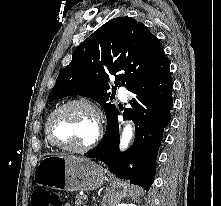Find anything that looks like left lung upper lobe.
I'll return each instance as SVG.
<instances>
[{"label":"left lung upper lobe","instance_id":"obj_1","mask_svg":"<svg viewBox=\"0 0 221 206\" xmlns=\"http://www.w3.org/2000/svg\"><path fill=\"white\" fill-rule=\"evenodd\" d=\"M169 68L163 48L149 29L131 17L114 18L89 36L72 55V61L58 75L49 101L82 95L101 104L107 117L105 135L111 129L117 108L107 92L109 76L115 86L129 91Z\"/></svg>","mask_w":221,"mask_h":206}]
</instances>
